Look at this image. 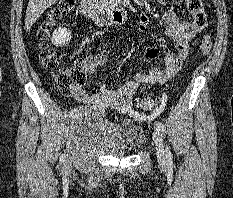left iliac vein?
Segmentation results:
<instances>
[{
	"mask_svg": "<svg viewBox=\"0 0 233 198\" xmlns=\"http://www.w3.org/2000/svg\"><path fill=\"white\" fill-rule=\"evenodd\" d=\"M153 140H154L155 145H156L157 158L160 162H164L166 160V153L164 150L161 132L157 128L154 129Z\"/></svg>",
	"mask_w": 233,
	"mask_h": 198,
	"instance_id": "obj_1",
	"label": "left iliac vein"
}]
</instances>
